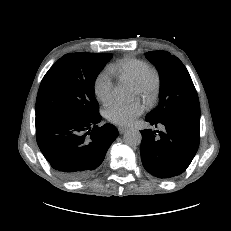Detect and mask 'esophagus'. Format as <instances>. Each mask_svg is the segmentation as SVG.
<instances>
[{
	"mask_svg": "<svg viewBox=\"0 0 231 231\" xmlns=\"http://www.w3.org/2000/svg\"><path fill=\"white\" fill-rule=\"evenodd\" d=\"M127 130H128L127 127H122V126H119V127H118V131H119L120 134H123V133L126 132Z\"/></svg>",
	"mask_w": 231,
	"mask_h": 231,
	"instance_id": "esophagus-1",
	"label": "esophagus"
}]
</instances>
